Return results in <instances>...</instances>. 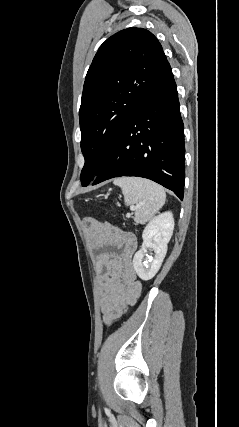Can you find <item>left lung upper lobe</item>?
<instances>
[{
    "label": "left lung upper lobe",
    "mask_w": 239,
    "mask_h": 427,
    "mask_svg": "<svg viewBox=\"0 0 239 427\" xmlns=\"http://www.w3.org/2000/svg\"><path fill=\"white\" fill-rule=\"evenodd\" d=\"M170 71L161 44L146 29H124L100 46L85 78L79 110L82 186L95 179L132 113Z\"/></svg>",
    "instance_id": "5c2ea615"
}]
</instances>
